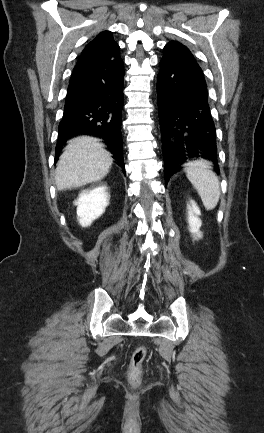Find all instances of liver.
Returning <instances> with one entry per match:
<instances>
[{"label":"liver","instance_id":"obj_1","mask_svg":"<svg viewBox=\"0 0 264 433\" xmlns=\"http://www.w3.org/2000/svg\"><path fill=\"white\" fill-rule=\"evenodd\" d=\"M111 154L93 137L69 141L57 162L55 183L58 190L82 187L103 179L112 166Z\"/></svg>","mask_w":264,"mask_h":433}]
</instances>
